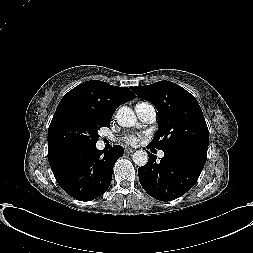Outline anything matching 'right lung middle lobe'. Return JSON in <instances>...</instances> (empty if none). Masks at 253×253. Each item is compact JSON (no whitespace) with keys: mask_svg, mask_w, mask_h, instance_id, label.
I'll return each instance as SVG.
<instances>
[{"mask_svg":"<svg viewBox=\"0 0 253 253\" xmlns=\"http://www.w3.org/2000/svg\"><path fill=\"white\" fill-rule=\"evenodd\" d=\"M110 122L77 111H68L54 119L48 130V151L67 147L91 146L98 141V130Z\"/></svg>","mask_w":253,"mask_h":253,"instance_id":"1","label":"right lung middle lobe"}]
</instances>
